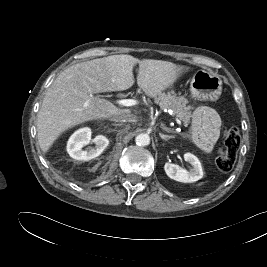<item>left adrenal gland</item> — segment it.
Returning a JSON list of instances; mask_svg holds the SVG:
<instances>
[{"label": "left adrenal gland", "mask_w": 267, "mask_h": 267, "mask_svg": "<svg viewBox=\"0 0 267 267\" xmlns=\"http://www.w3.org/2000/svg\"><path fill=\"white\" fill-rule=\"evenodd\" d=\"M162 129L165 130L166 132L168 133H173L174 131L170 128H167L166 126L162 125ZM160 137L163 139V140H168V139H171V138H174V136L172 135H164L162 133H159Z\"/></svg>", "instance_id": "left-adrenal-gland-1"}]
</instances>
